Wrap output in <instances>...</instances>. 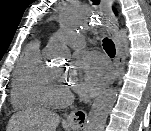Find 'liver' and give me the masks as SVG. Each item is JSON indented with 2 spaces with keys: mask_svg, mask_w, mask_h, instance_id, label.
<instances>
[{
  "mask_svg": "<svg viewBox=\"0 0 151 131\" xmlns=\"http://www.w3.org/2000/svg\"><path fill=\"white\" fill-rule=\"evenodd\" d=\"M60 117L43 108H31L15 113L9 120L7 131H55Z\"/></svg>",
  "mask_w": 151,
  "mask_h": 131,
  "instance_id": "obj_1",
  "label": "liver"
}]
</instances>
